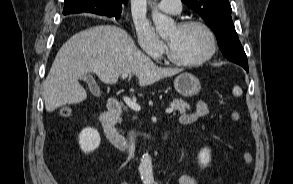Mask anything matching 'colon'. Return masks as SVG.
<instances>
[{"label": "colon", "mask_w": 293, "mask_h": 184, "mask_svg": "<svg viewBox=\"0 0 293 184\" xmlns=\"http://www.w3.org/2000/svg\"><path fill=\"white\" fill-rule=\"evenodd\" d=\"M69 113H70V109L69 108L65 107V108L62 109V115L68 116ZM240 118H241V116H240V114L237 111H233L231 113V119L233 121H239ZM242 158H243V161L246 164H250L253 161L252 155L250 153H248V152L243 153ZM238 184H242V183H238Z\"/></svg>", "instance_id": "obj_1"}]
</instances>
